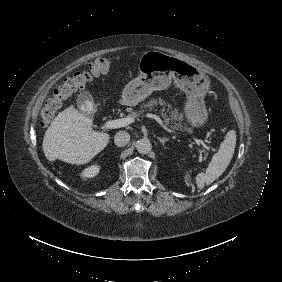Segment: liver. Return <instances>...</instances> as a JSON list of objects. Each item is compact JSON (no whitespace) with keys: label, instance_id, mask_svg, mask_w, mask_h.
<instances>
[{"label":"liver","instance_id":"1","mask_svg":"<svg viewBox=\"0 0 282 282\" xmlns=\"http://www.w3.org/2000/svg\"><path fill=\"white\" fill-rule=\"evenodd\" d=\"M92 125L93 120L74 106L60 112L44 135L42 147L46 158L77 165L88 163L109 141L107 133L93 131Z\"/></svg>","mask_w":282,"mask_h":282}]
</instances>
